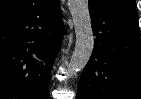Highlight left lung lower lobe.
<instances>
[{"instance_id":"1","label":"left lung lower lobe","mask_w":141,"mask_h":99,"mask_svg":"<svg viewBox=\"0 0 141 99\" xmlns=\"http://www.w3.org/2000/svg\"><path fill=\"white\" fill-rule=\"evenodd\" d=\"M94 50L77 99H141V46L135 8L89 0Z\"/></svg>"}]
</instances>
